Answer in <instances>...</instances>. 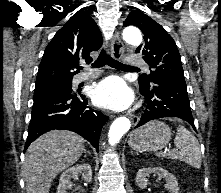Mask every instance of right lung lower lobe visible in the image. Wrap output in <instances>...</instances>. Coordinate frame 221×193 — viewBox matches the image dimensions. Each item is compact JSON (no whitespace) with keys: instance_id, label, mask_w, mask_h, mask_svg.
Listing matches in <instances>:
<instances>
[{"instance_id":"right-lung-lower-lobe-1","label":"right lung lower lobe","mask_w":221,"mask_h":193,"mask_svg":"<svg viewBox=\"0 0 221 193\" xmlns=\"http://www.w3.org/2000/svg\"><path fill=\"white\" fill-rule=\"evenodd\" d=\"M33 101L24 151L42 134L64 129L81 135L98 152L100 133L108 117L88 107L84 95L49 94Z\"/></svg>"}]
</instances>
